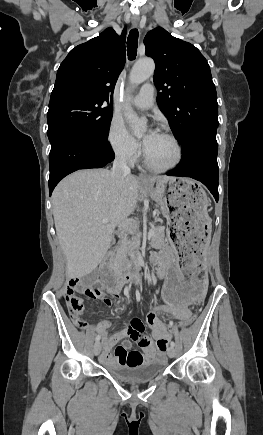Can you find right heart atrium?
<instances>
[{
	"label": "right heart atrium",
	"mask_w": 263,
	"mask_h": 435,
	"mask_svg": "<svg viewBox=\"0 0 263 435\" xmlns=\"http://www.w3.org/2000/svg\"><path fill=\"white\" fill-rule=\"evenodd\" d=\"M107 143L113 154L121 161L135 162L141 153L139 143L128 133L124 123L113 118L107 130Z\"/></svg>",
	"instance_id": "d8ad5b80"
}]
</instances>
